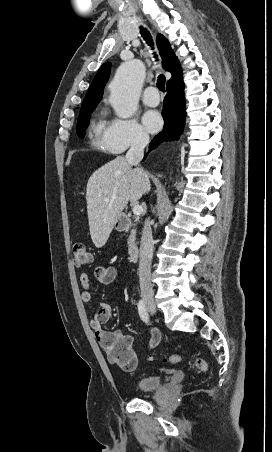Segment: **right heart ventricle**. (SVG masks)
Listing matches in <instances>:
<instances>
[{
	"instance_id": "right-heart-ventricle-1",
	"label": "right heart ventricle",
	"mask_w": 272,
	"mask_h": 452,
	"mask_svg": "<svg viewBox=\"0 0 272 452\" xmlns=\"http://www.w3.org/2000/svg\"><path fill=\"white\" fill-rule=\"evenodd\" d=\"M108 131V126L103 118H99L92 128L93 144L105 147V136Z\"/></svg>"
}]
</instances>
